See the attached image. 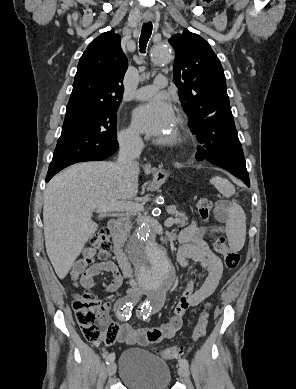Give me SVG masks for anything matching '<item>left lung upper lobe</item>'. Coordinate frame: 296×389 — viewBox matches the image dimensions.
Returning <instances> with one entry per match:
<instances>
[{
  "mask_svg": "<svg viewBox=\"0 0 296 389\" xmlns=\"http://www.w3.org/2000/svg\"><path fill=\"white\" fill-rule=\"evenodd\" d=\"M169 43L176 54L174 83L189 118V128L198 138L206 118L230 108L224 70L209 43L187 29L173 35Z\"/></svg>",
  "mask_w": 296,
  "mask_h": 389,
  "instance_id": "obj_1",
  "label": "left lung upper lobe"
}]
</instances>
